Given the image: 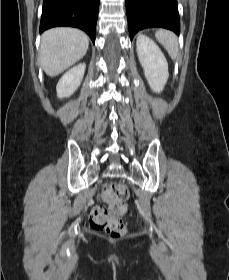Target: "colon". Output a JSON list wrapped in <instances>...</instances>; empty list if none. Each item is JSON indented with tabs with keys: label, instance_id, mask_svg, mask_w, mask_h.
<instances>
[{
	"label": "colon",
	"instance_id": "obj_1",
	"mask_svg": "<svg viewBox=\"0 0 229 280\" xmlns=\"http://www.w3.org/2000/svg\"><path fill=\"white\" fill-rule=\"evenodd\" d=\"M102 198L110 208L103 205L93 207L90 214L91 226L94 229L108 230L111 233L121 234L125 231V225L121 219L126 213V200L129 197L127 187L120 183L105 185Z\"/></svg>",
	"mask_w": 229,
	"mask_h": 280
}]
</instances>
